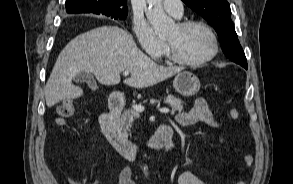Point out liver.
Returning a JSON list of instances; mask_svg holds the SVG:
<instances>
[{"instance_id":"obj_1","label":"liver","mask_w":293,"mask_h":184,"mask_svg":"<svg viewBox=\"0 0 293 184\" xmlns=\"http://www.w3.org/2000/svg\"><path fill=\"white\" fill-rule=\"evenodd\" d=\"M128 70L124 83L145 88L180 73L182 67L156 64L136 46L133 37L117 26H102L72 39L60 52L44 88L50 108L65 99H76L83 90L72 84L81 72L93 73L103 85L120 83V73Z\"/></svg>"}]
</instances>
